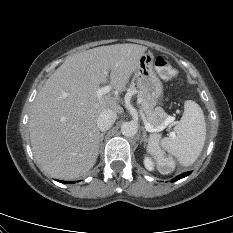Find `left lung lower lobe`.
<instances>
[{
    "instance_id": "0a47b994",
    "label": "left lung lower lobe",
    "mask_w": 233,
    "mask_h": 233,
    "mask_svg": "<svg viewBox=\"0 0 233 233\" xmlns=\"http://www.w3.org/2000/svg\"><path fill=\"white\" fill-rule=\"evenodd\" d=\"M190 173H191V172H185V173H183V174L177 176L176 178L172 179L171 182H175V181H177V180H179V179H181V178H184V177L188 176Z\"/></svg>"
}]
</instances>
